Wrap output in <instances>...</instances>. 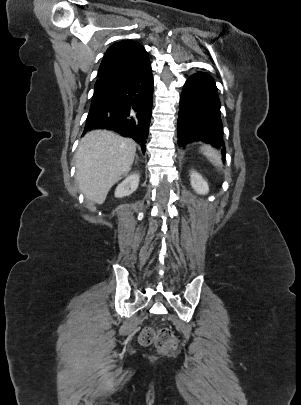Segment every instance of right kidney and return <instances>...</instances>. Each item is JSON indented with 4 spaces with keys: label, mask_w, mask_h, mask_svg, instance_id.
I'll use <instances>...</instances> for the list:
<instances>
[{
    "label": "right kidney",
    "mask_w": 301,
    "mask_h": 405,
    "mask_svg": "<svg viewBox=\"0 0 301 405\" xmlns=\"http://www.w3.org/2000/svg\"><path fill=\"white\" fill-rule=\"evenodd\" d=\"M140 175L133 173L127 176L116 188L115 197L122 198L131 195L136 191L139 185Z\"/></svg>",
    "instance_id": "obj_1"
}]
</instances>
